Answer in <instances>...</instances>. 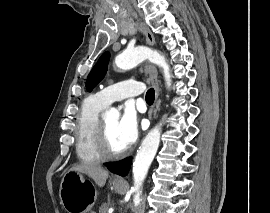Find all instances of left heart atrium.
I'll return each mask as SVG.
<instances>
[{
  "label": "left heart atrium",
  "mask_w": 270,
  "mask_h": 213,
  "mask_svg": "<svg viewBox=\"0 0 270 213\" xmlns=\"http://www.w3.org/2000/svg\"><path fill=\"white\" fill-rule=\"evenodd\" d=\"M117 132L124 148L130 147L138 138V120L134 110L127 106L117 124Z\"/></svg>",
  "instance_id": "left-heart-atrium-1"
}]
</instances>
